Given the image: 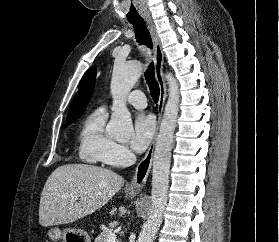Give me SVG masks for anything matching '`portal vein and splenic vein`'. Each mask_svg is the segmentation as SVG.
<instances>
[{
  "instance_id": "18ae733b",
  "label": "portal vein and splenic vein",
  "mask_w": 279,
  "mask_h": 242,
  "mask_svg": "<svg viewBox=\"0 0 279 242\" xmlns=\"http://www.w3.org/2000/svg\"><path fill=\"white\" fill-rule=\"evenodd\" d=\"M116 240H117V237H116L115 232H110L107 236L106 242H116Z\"/></svg>"
}]
</instances>
